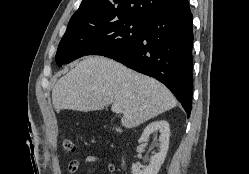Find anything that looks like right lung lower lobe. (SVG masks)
<instances>
[{"label": "right lung lower lobe", "instance_id": "obj_1", "mask_svg": "<svg viewBox=\"0 0 249 174\" xmlns=\"http://www.w3.org/2000/svg\"><path fill=\"white\" fill-rule=\"evenodd\" d=\"M193 19L189 6L145 20L141 37L125 50L103 56L165 84L189 117L192 106Z\"/></svg>", "mask_w": 249, "mask_h": 174}]
</instances>
